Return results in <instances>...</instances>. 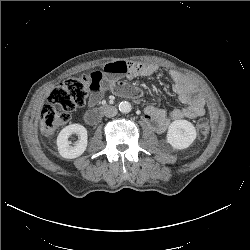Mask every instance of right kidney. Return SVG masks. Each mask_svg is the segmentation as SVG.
Wrapping results in <instances>:
<instances>
[{
    "label": "right kidney",
    "instance_id": "1",
    "mask_svg": "<svg viewBox=\"0 0 250 250\" xmlns=\"http://www.w3.org/2000/svg\"><path fill=\"white\" fill-rule=\"evenodd\" d=\"M72 134L79 137L78 142L72 146L68 140ZM87 130L80 124H71L63 128L57 137L59 154L66 159H74L81 156L87 148Z\"/></svg>",
    "mask_w": 250,
    "mask_h": 250
}]
</instances>
